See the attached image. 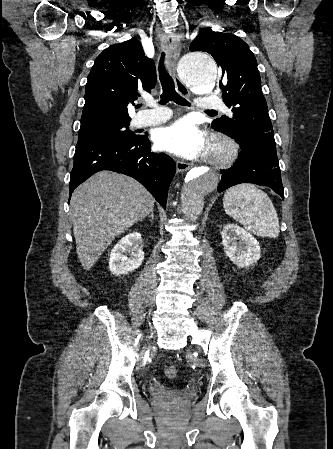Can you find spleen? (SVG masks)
Segmentation results:
<instances>
[{
  "label": "spleen",
  "instance_id": "obj_1",
  "mask_svg": "<svg viewBox=\"0 0 333 449\" xmlns=\"http://www.w3.org/2000/svg\"><path fill=\"white\" fill-rule=\"evenodd\" d=\"M223 207L226 214L252 233L270 238L279 235V219L272 201L254 185L244 183L229 188Z\"/></svg>",
  "mask_w": 333,
  "mask_h": 449
}]
</instances>
